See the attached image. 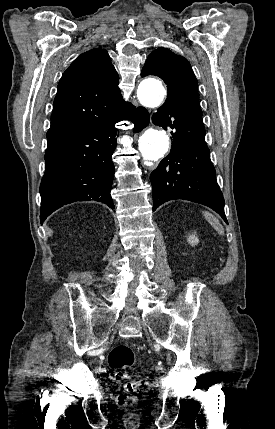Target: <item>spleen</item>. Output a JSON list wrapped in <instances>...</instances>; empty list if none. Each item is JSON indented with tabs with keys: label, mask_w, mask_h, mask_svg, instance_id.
Instances as JSON below:
<instances>
[{
	"label": "spleen",
	"mask_w": 275,
	"mask_h": 429,
	"mask_svg": "<svg viewBox=\"0 0 275 429\" xmlns=\"http://www.w3.org/2000/svg\"><path fill=\"white\" fill-rule=\"evenodd\" d=\"M205 219L212 225V227L221 235H224L223 226L220 224L219 220L209 212H203Z\"/></svg>",
	"instance_id": "3e777b00"
}]
</instances>
